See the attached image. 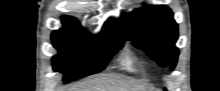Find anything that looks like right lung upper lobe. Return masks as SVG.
<instances>
[{"label":"right lung upper lobe","mask_w":220,"mask_h":91,"mask_svg":"<svg viewBox=\"0 0 220 91\" xmlns=\"http://www.w3.org/2000/svg\"><path fill=\"white\" fill-rule=\"evenodd\" d=\"M62 22H63V25L65 26L64 29L81 28L78 25L77 21L72 17L63 16ZM119 29H120L119 25L116 23L115 19H110L108 22L105 23V25L102 29V32H116L121 35V32ZM121 37H122V35H121Z\"/></svg>","instance_id":"right-lung-upper-lobe-1"}]
</instances>
